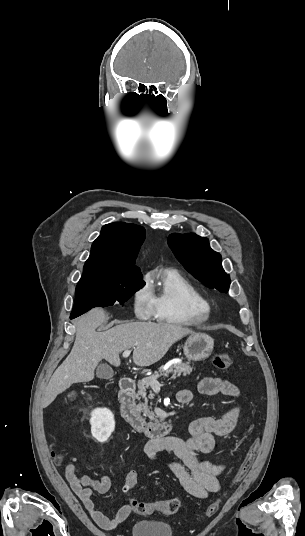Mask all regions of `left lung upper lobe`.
Returning <instances> with one entry per match:
<instances>
[{
    "mask_svg": "<svg viewBox=\"0 0 305 536\" xmlns=\"http://www.w3.org/2000/svg\"><path fill=\"white\" fill-rule=\"evenodd\" d=\"M168 245L186 270L202 283L227 292L230 276L221 265V255L213 251L208 239L196 234H172Z\"/></svg>",
    "mask_w": 305,
    "mask_h": 536,
    "instance_id": "obj_1",
    "label": "left lung upper lobe"
}]
</instances>
